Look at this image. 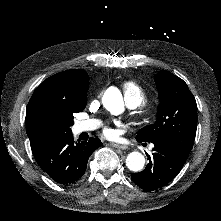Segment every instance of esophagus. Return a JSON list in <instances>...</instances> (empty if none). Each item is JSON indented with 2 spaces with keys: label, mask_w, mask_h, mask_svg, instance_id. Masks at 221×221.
I'll list each match as a JSON object with an SVG mask.
<instances>
[{
  "label": "esophagus",
  "mask_w": 221,
  "mask_h": 221,
  "mask_svg": "<svg viewBox=\"0 0 221 221\" xmlns=\"http://www.w3.org/2000/svg\"><path fill=\"white\" fill-rule=\"evenodd\" d=\"M109 146L110 147H113V148H117V149H126V145H121V144H118V143H109Z\"/></svg>",
  "instance_id": "esophagus-1"
}]
</instances>
